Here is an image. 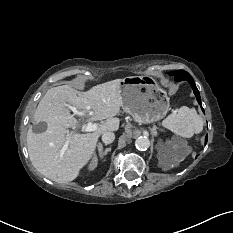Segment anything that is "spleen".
<instances>
[{"label": "spleen", "mask_w": 233, "mask_h": 233, "mask_svg": "<svg viewBox=\"0 0 233 233\" xmlns=\"http://www.w3.org/2000/svg\"><path fill=\"white\" fill-rule=\"evenodd\" d=\"M162 126L183 138H191L194 133H200L203 129V119L197 114L194 108L182 106L173 111L162 121ZM184 148V146L182 147ZM188 154V149H184Z\"/></svg>", "instance_id": "3e777b00"}]
</instances>
